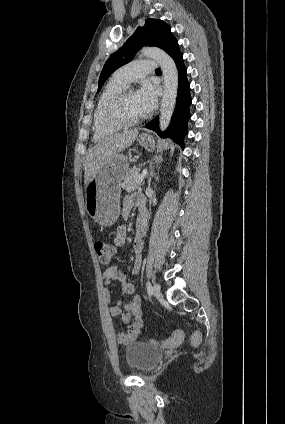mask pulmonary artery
Returning <instances> with one entry per match:
<instances>
[{
    "mask_svg": "<svg viewBox=\"0 0 285 424\" xmlns=\"http://www.w3.org/2000/svg\"><path fill=\"white\" fill-rule=\"evenodd\" d=\"M154 60L137 59L119 68L113 75L118 82L127 85L155 71Z\"/></svg>",
    "mask_w": 285,
    "mask_h": 424,
    "instance_id": "1",
    "label": "pulmonary artery"
}]
</instances>
